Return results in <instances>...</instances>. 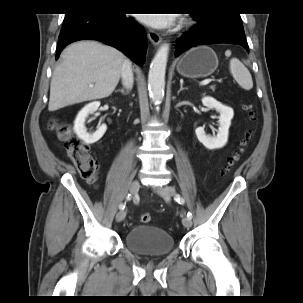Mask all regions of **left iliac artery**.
I'll return each mask as SVG.
<instances>
[{
	"instance_id": "1",
	"label": "left iliac artery",
	"mask_w": 303,
	"mask_h": 303,
	"mask_svg": "<svg viewBox=\"0 0 303 303\" xmlns=\"http://www.w3.org/2000/svg\"><path fill=\"white\" fill-rule=\"evenodd\" d=\"M174 199L176 200V202L184 204V199L180 195H176ZM187 217L192 218V214L189 212L187 214Z\"/></svg>"
}]
</instances>
